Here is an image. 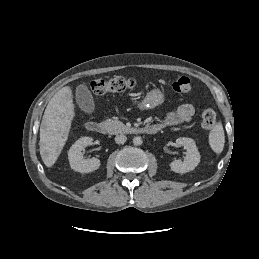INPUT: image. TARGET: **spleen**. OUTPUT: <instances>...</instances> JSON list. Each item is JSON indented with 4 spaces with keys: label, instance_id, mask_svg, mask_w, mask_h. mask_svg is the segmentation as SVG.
<instances>
[{
    "label": "spleen",
    "instance_id": "obj_1",
    "mask_svg": "<svg viewBox=\"0 0 259 259\" xmlns=\"http://www.w3.org/2000/svg\"><path fill=\"white\" fill-rule=\"evenodd\" d=\"M224 143L225 135L223 126L218 122L209 133V144L215 153L220 154L223 151Z\"/></svg>",
    "mask_w": 259,
    "mask_h": 259
}]
</instances>
